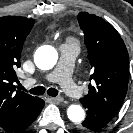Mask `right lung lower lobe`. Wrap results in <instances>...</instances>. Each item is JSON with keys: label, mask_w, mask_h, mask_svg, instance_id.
Returning a JSON list of instances; mask_svg holds the SVG:
<instances>
[{"label": "right lung lower lobe", "mask_w": 133, "mask_h": 133, "mask_svg": "<svg viewBox=\"0 0 133 133\" xmlns=\"http://www.w3.org/2000/svg\"><path fill=\"white\" fill-rule=\"evenodd\" d=\"M44 105V101L37 98V100L27 105L12 122L2 127V129L7 133H17L26 129L34 122Z\"/></svg>", "instance_id": "obj_1"}]
</instances>
